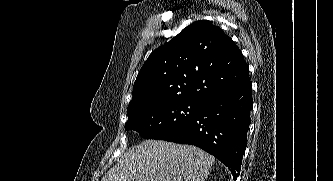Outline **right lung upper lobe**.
<instances>
[{
  "mask_svg": "<svg viewBox=\"0 0 333 181\" xmlns=\"http://www.w3.org/2000/svg\"><path fill=\"white\" fill-rule=\"evenodd\" d=\"M249 81L248 65L232 39L211 22L196 21L150 54L127 112L166 100L202 102Z\"/></svg>",
  "mask_w": 333,
  "mask_h": 181,
  "instance_id": "cb5924a9",
  "label": "right lung upper lobe"
}]
</instances>
